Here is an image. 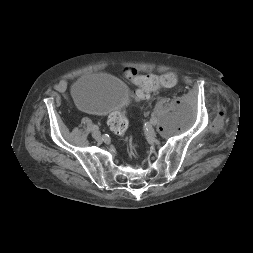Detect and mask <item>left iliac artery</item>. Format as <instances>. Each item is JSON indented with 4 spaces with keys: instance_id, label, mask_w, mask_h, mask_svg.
Segmentation results:
<instances>
[{
    "instance_id": "left-iliac-artery-1",
    "label": "left iliac artery",
    "mask_w": 253,
    "mask_h": 253,
    "mask_svg": "<svg viewBox=\"0 0 253 253\" xmlns=\"http://www.w3.org/2000/svg\"><path fill=\"white\" fill-rule=\"evenodd\" d=\"M151 124L156 125V124H157V120L154 119V118H152V119H151Z\"/></svg>"
}]
</instances>
